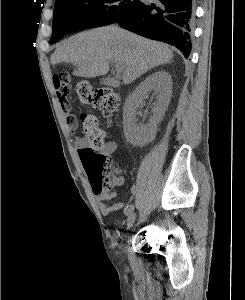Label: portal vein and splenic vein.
Here are the masks:
<instances>
[{
  "label": "portal vein and splenic vein",
  "mask_w": 245,
  "mask_h": 300,
  "mask_svg": "<svg viewBox=\"0 0 245 300\" xmlns=\"http://www.w3.org/2000/svg\"><path fill=\"white\" fill-rule=\"evenodd\" d=\"M114 68H115V70H116V72H117V73H120V72H121V70H120V68H119V67H117V66H114Z\"/></svg>",
  "instance_id": "18ae733b"
}]
</instances>
